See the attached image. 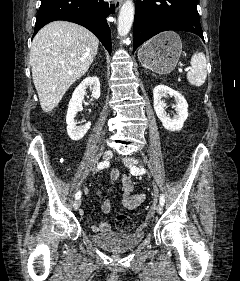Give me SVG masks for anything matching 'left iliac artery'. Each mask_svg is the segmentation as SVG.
I'll return each mask as SVG.
<instances>
[{
    "label": "left iliac artery",
    "mask_w": 240,
    "mask_h": 281,
    "mask_svg": "<svg viewBox=\"0 0 240 281\" xmlns=\"http://www.w3.org/2000/svg\"><path fill=\"white\" fill-rule=\"evenodd\" d=\"M130 172L132 175H142V174L146 173V170L144 168H138L136 166H132L130 168ZM159 202L162 206L164 205V203H165L164 195L160 196Z\"/></svg>",
    "instance_id": "left-iliac-artery-1"
}]
</instances>
